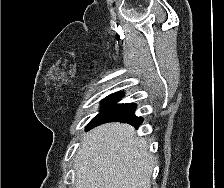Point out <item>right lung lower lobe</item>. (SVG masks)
<instances>
[{
    "label": "right lung lower lobe",
    "instance_id": "obj_1",
    "mask_svg": "<svg viewBox=\"0 0 224 188\" xmlns=\"http://www.w3.org/2000/svg\"><path fill=\"white\" fill-rule=\"evenodd\" d=\"M122 95L123 93L120 92L113 99H111L103 107L100 113L91 120V122L87 125L86 130L107 122H123L139 127L142 124L143 119L135 116L134 114L136 104H116Z\"/></svg>",
    "mask_w": 224,
    "mask_h": 188
}]
</instances>
